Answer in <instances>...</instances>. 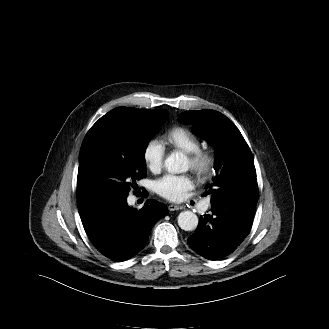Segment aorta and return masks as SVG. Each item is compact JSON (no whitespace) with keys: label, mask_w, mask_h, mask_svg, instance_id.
Masks as SVG:
<instances>
[{"label":"aorta","mask_w":329,"mask_h":329,"mask_svg":"<svg viewBox=\"0 0 329 329\" xmlns=\"http://www.w3.org/2000/svg\"><path fill=\"white\" fill-rule=\"evenodd\" d=\"M164 166L169 173L179 174L188 170L187 157L181 152L169 155ZM178 225L182 230L192 231L198 226V217L192 211H183L178 215Z\"/></svg>","instance_id":"1"}]
</instances>
